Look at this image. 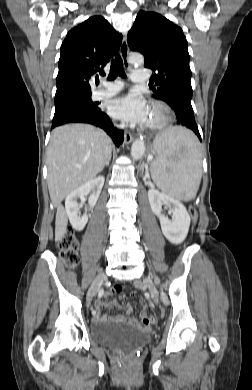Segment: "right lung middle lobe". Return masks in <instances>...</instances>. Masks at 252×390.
I'll return each mask as SVG.
<instances>
[{
  "label": "right lung middle lobe",
  "instance_id": "dd1d6c3e",
  "mask_svg": "<svg viewBox=\"0 0 252 390\" xmlns=\"http://www.w3.org/2000/svg\"><path fill=\"white\" fill-rule=\"evenodd\" d=\"M68 105H81L89 108H95L96 103L91 100V95H81L60 101H55V108H60Z\"/></svg>",
  "mask_w": 252,
  "mask_h": 390
}]
</instances>
